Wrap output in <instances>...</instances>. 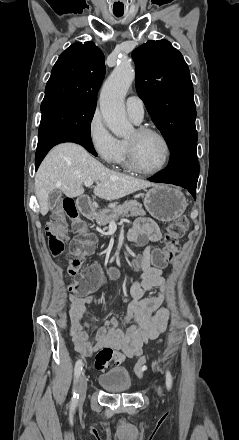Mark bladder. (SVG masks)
<instances>
[{
	"mask_svg": "<svg viewBox=\"0 0 239 440\" xmlns=\"http://www.w3.org/2000/svg\"><path fill=\"white\" fill-rule=\"evenodd\" d=\"M100 385L109 392H128L132 387V380L125 369H112L99 377Z\"/></svg>",
	"mask_w": 239,
	"mask_h": 440,
	"instance_id": "obj_1",
	"label": "bladder"
}]
</instances>
